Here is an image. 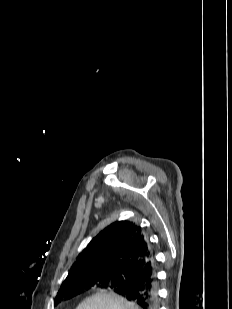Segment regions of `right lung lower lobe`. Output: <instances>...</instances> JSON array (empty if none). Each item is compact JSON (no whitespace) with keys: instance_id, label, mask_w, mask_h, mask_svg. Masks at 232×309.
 <instances>
[{"instance_id":"obj_1","label":"right lung lower lobe","mask_w":232,"mask_h":309,"mask_svg":"<svg viewBox=\"0 0 232 309\" xmlns=\"http://www.w3.org/2000/svg\"><path fill=\"white\" fill-rule=\"evenodd\" d=\"M127 281L118 285L111 283L114 292L134 302L140 309H158L157 278L155 259L152 256L139 268L123 273Z\"/></svg>"}]
</instances>
